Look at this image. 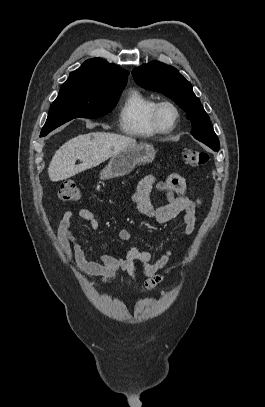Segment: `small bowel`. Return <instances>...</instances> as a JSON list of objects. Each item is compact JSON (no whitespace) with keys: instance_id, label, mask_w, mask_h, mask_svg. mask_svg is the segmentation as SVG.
Here are the masks:
<instances>
[{"instance_id":"1","label":"small bowel","mask_w":265,"mask_h":407,"mask_svg":"<svg viewBox=\"0 0 265 407\" xmlns=\"http://www.w3.org/2000/svg\"><path fill=\"white\" fill-rule=\"evenodd\" d=\"M164 194L165 205L154 207L152 204V188ZM185 179L177 174H170L166 180L159 181L154 175H146L137 184L132 200L144 216L158 223H167L179 215L184 221L183 234L191 236L195 230L196 214L201 200H192ZM79 217L86 221L93 230L100 228V223L88 209H81ZM73 212L67 211L58 226V239L67 260L74 261L87 274L98 277L101 283L111 281L117 270H122L132 278H136L138 269L147 277L145 287L153 289L163 280V269L168 265L172 252L166 250L156 255L131 246L124 254L112 256L98 255L96 260H89L72 232ZM121 239L130 241L132 236L126 229L119 232Z\"/></svg>"}]
</instances>
